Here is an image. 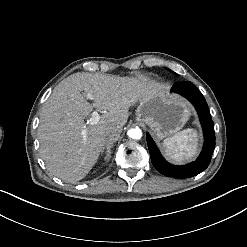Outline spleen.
Wrapping results in <instances>:
<instances>
[{
	"label": "spleen",
	"instance_id": "spleen-1",
	"mask_svg": "<svg viewBox=\"0 0 247 247\" xmlns=\"http://www.w3.org/2000/svg\"><path fill=\"white\" fill-rule=\"evenodd\" d=\"M197 136L198 135H197V132L195 130L188 128V129H185V130H182V131L176 133L171 138L165 139L163 142V147L164 148L168 147L170 142H172V141H176L177 143L182 144L183 146H186V145L192 146L194 149V152H189L188 155L184 159L179 158L178 160H176L177 163H182L185 159L189 160L196 154ZM165 155L171 161L173 158L177 159V156H173L172 153H168L166 149H165Z\"/></svg>",
	"mask_w": 247,
	"mask_h": 247
}]
</instances>
